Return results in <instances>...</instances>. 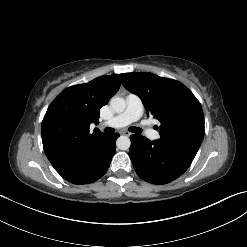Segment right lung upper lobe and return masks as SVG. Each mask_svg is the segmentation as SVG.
Masks as SVG:
<instances>
[{
    "label": "right lung upper lobe",
    "mask_w": 247,
    "mask_h": 247,
    "mask_svg": "<svg viewBox=\"0 0 247 247\" xmlns=\"http://www.w3.org/2000/svg\"><path fill=\"white\" fill-rule=\"evenodd\" d=\"M120 88V75L101 76L62 91L49 106L42 121V143L51 163L76 156L104 134L98 124L99 110Z\"/></svg>",
    "instance_id": "cb5924a9"
}]
</instances>
